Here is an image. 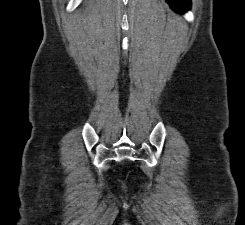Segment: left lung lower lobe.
<instances>
[{"mask_svg":"<svg viewBox=\"0 0 245 225\" xmlns=\"http://www.w3.org/2000/svg\"><path fill=\"white\" fill-rule=\"evenodd\" d=\"M176 12L184 13L191 7V0H167Z\"/></svg>","mask_w":245,"mask_h":225,"instance_id":"1","label":"left lung lower lobe"}]
</instances>
